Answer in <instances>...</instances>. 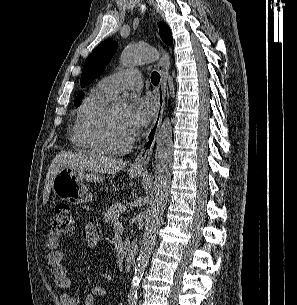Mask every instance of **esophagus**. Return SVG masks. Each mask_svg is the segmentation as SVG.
<instances>
[{
	"label": "esophagus",
	"mask_w": 297,
	"mask_h": 305,
	"mask_svg": "<svg viewBox=\"0 0 297 305\" xmlns=\"http://www.w3.org/2000/svg\"><path fill=\"white\" fill-rule=\"evenodd\" d=\"M149 3L151 4V2ZM158 47L160 50V58L157 63V69L161 75L160 83L157 89L158 106L153 122L147 132L146 139L141 147L140 153L138 154L132 165L133 169L137 171H146L147 169L148 163L153 154L154 145L157 139L158 130L161 126L162 117L165 109L169 55L161 45H158Z\"/></svg>",
	"instance_id": "34e87169"
}]
</instances>
